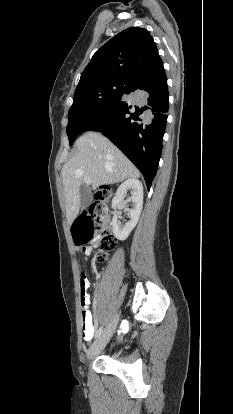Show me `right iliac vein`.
<instances>
[{
	"label": "right iliac vein",
	"instance_id": "obj_1",
	"mask_svg": "<svg viewBox=\"0 0 233 414\" xmlns=\"http://www.w3.org/2000/svg\"><path fill=\"white\" fill-rule=\"evenodd\" d=\"M118 322V315L113 318L111 323L108 325V327L105 329V331L97 338V340L90 346L88 352H87V358L88 360L93 359L95 356H97L107 345L110 338L113 335V332L116 328Z\"/></svg>",
	"mask_w": 233,
	"mask_h": 414
}]
</instances>
